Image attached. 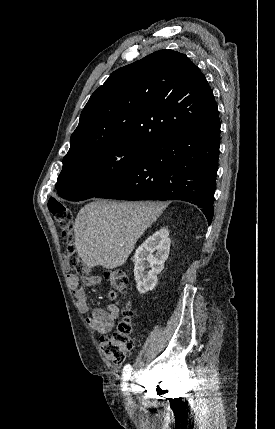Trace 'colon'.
<instances>
[{"instance_id": "obj_1", "label": "colon", "mask_w": 275, "mask_h": 429, "mask_svg": "<svg viewBox=\"0 0 275 429\" xmlns=\"http://www.w3.org/2000/svg\"><path fill=\"white\" fill-rule=\"evenodd\" d=\"M48 207L57 225L61 229L62 236L68 240L66 247V262L68 266L83 275L88 274L89 269L80 258L71 239L73 229L71 211L65 204L57 200L49 201ZM105 277L108 279L113 291L120 293L126 292L129 279L124 271L120 269L109 270L105 272ZM123 314L124 317L119 322L116 330L111 335L104 336L100 339V347L104 356L115 364L123 363L126 355L133 349V325L131 321L133 311L127 306Z\"/></svg>"}]
</instances>
